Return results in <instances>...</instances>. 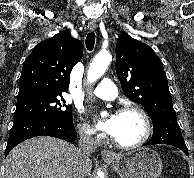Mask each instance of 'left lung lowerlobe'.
<instances>
[{
  "label": "left lung lower lobe",
  "mask_w": 194,
  "mask_h": 178,
  "mask_svg": "<svg viewBox=\"0 0 194 178\" xmlns=\"http://www.w3.org/2000/svg\"><path fill=\"white\" fill-rule=\"evenodd\" d=\"M153 135L152 138L144 144H169L181 149L188 155V149L181 135L180 127L177 123L176 113L161 114L153 119Z\"/></svg>",
  "instance_id": "0a47b994"
}]
</instances>
